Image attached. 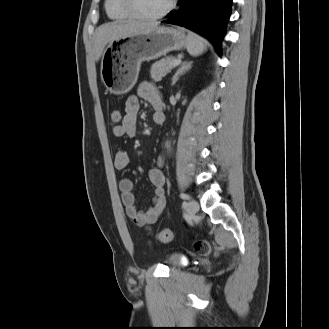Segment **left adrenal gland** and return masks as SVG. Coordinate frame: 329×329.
<instances>
[{"label": "left adrenal gland", "mask_w": 329, "mask_h": 329, "mask_svg": "<svg viewBox=\"0 0 329 329\" xmlns=\"http://www.w3.org/2000/svg\"><path fill=\"white\" fill-rule=\"evenodd\" d=\"M192 61L188 62V61H183L180 65V67L178 68V70L176 71V73L174 74L173 78H172V85H175V83L178 81L179 77L181 75H184L187 71H189L192 67Z\"/></svg>", "instance_id": "1"}]
</instances>
